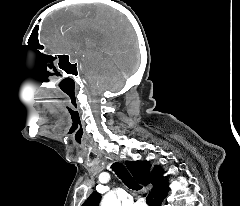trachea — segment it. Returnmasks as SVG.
I'll list each match as a JSON object with an SVG mask.
<instances>
[{"mask_svg": "<svg viewBox=\"0 0 240 206\" xmlns=\"http://www.w3.org/2000/svg\"><path fill=\"white\" fill-rule=\"evenodd\" d=\"M113 171L116 173V175L122 180V182L130 189L132 190H139L142 187L134 180V178L130 175V173L127 171L125 166L121 163H114L112 166ZM146 202L149 206H154L153 197L151 194H149L146 198Z\"/></svg>", "mask_w": 240, "mask_h": 206, "instance_id": "1", "label": "trachea"}]
</instances>
